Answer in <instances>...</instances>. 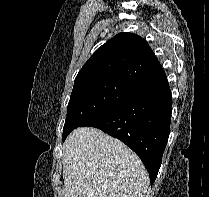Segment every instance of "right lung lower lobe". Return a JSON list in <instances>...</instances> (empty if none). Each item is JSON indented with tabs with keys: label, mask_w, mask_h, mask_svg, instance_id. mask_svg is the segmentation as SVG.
Masks as SVG:
<instances>
[{
	"label": "right lung lower lobe",
	"mask_w": 209,
	"mask_h": 197,
	"mask_svg": "<svg viewBox=\"0 0 209 197\" xmlns=\"http://www.w3.org/2000/svg\"><path fill=\"white\" fill-rule=\"evenodd\" d=\"M171 100L166 77L138 90L81 126L99 128L128 145L144 163L153 184L170 133Z\"/></svg>",
	"instance_id": "obj_1"
}]
</instances>
